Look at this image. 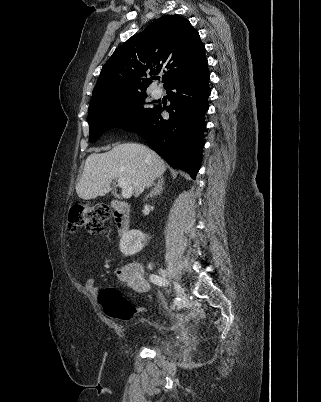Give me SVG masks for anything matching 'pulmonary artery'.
I'll use <instances>...</instances> for the list:
<instances>
[{"label":"pulmonary artery","instance_id":"obj_1","mask_svg":"<svg viewBox=\"0 0 321 402\" xmlns=\"http://www.w3.org/2000/svg\"><path fill=\"white\" fill-rule=\"evenodd\" d=\"M154 97H156V98H158L159 96H160V93H158V92H154Z\"/></svg>","mask_w":321,"mask_h":402}]
</instances>
